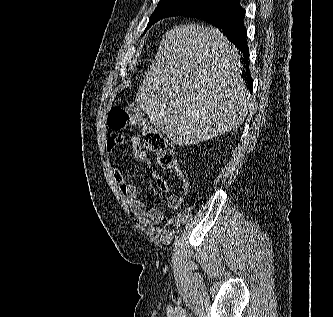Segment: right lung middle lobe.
Segmentation results:
<instances>
[{
	"mask_svg": "<svg viewBox=\"0 0 333 317\" xmlns=\"http://www.w3.org/2000/svg\"><path fill=\"white\" fill-rule=\"evenodd\" d=\"M228 4H230L228 0H160L149 19L146 30L166 17L196 16Z\"/></svg>",
	"mask_w": 333,
	"mask_h": 317,
	"instance_id": "1",
	"label": "right lung middle lobe"
}]
</instances>
